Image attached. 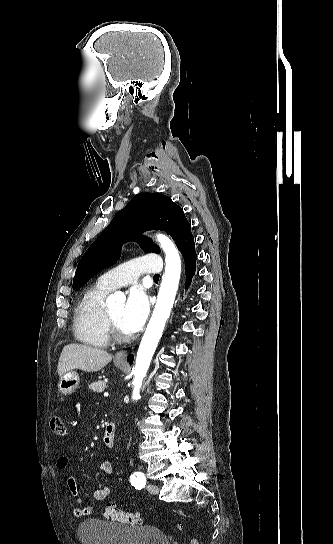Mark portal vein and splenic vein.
Here are the masks:
<instances>
[{
	"label": "portal vein and splenic vein",
	"mask_w": 333,
	"mask_h": 544,
	"mask_svg": "<svg viewBox=\"0 0 333 544\" xmlns=\"http://www.w3.org/2000/svg\"><path fill=\"white\" fill-rule=\"evenodd\" d=\"M104 396H105V397H108V396H109V394H108L107 392H105V393H104Z\"/></svg>",
	"instance_id": "1"
}]
</instances>
